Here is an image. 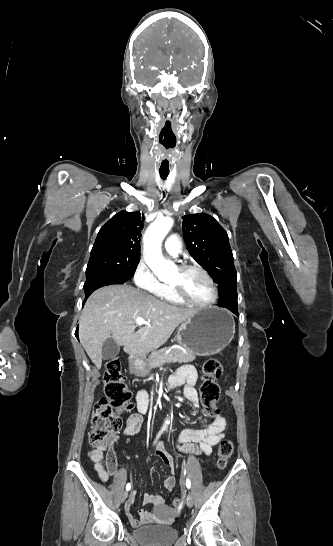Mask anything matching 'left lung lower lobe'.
<instances>
[{"mask_svg":"<svg viewBox=\"0 0 333 546\" xmlns=\"http://www.w3.org/2000/svg\"><path fill=\"white\" fill-rule=\"evenodd\" d=\"M218 306L227 308L231 312H233L234 314H236L238 316L237 298H236V301H234V302H230V303H226V304H218Z\"/></svg>","mask_w":333,"mask_h":546,"instance_id":"0a47b994","label":"left lung lower lobe"}]
</instances>
